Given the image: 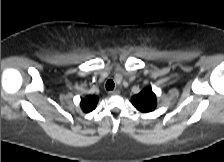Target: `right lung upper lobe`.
<instances>
[{
	"instance_id": "obj_1",
	"label": "right lung upper lobe",
	"mask_w": 224,
	"mask_h": 162,
	"mask_svg": "<svg viewBox=\"0 0 224 162\" xmlns=\"http://www.w3.org/2000/svg\"><path fill=\"white\" fill-rule=\"evenodd\" d=\"M97 103V96H86V98L81 100V108L84 112L88 113L96 108Z\"/></svg>"
}]
</instances>
